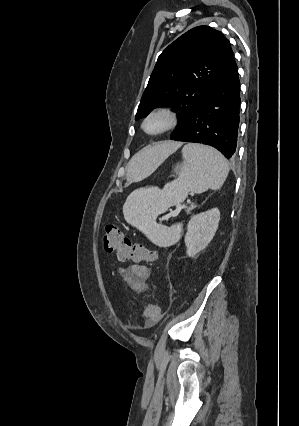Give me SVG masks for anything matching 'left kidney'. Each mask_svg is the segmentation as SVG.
<instances>
[{"label": "left kidney", "mask_w": 299, "mask_h": 426, "mask_svg": "<svg viewBox=\"0 0 299 426\" xmlns=\"http://www.w3.org/2000/svg\"><path fill=\"white\" fill-rule=\"evenodd\" d=\"M219 220L218 208L199 213L191 218L185 235L186 253L189 257H194L207 247L217 231Z\"/></svg>", "instance_id": "5707ae66"}]
</instances>
